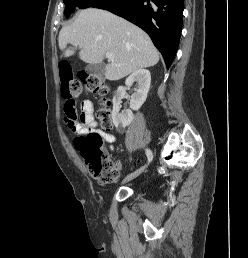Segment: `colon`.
Listing matches in <instances>:
<instances>
[{
    "mask_svg": "<svg viewBox=\"0 0 248 258\" xmlns=\"http://www.w3.org/2000/svg\"><path fill=\"white\" fill-rule=\"evenodd\" d=\"M61 81L63 96L66 100L64 112L68 118L69 112L75 113L76 99L81 93L82 85L92 94L102 97L101 107L98 110L97 116L100 125L104 130H110L113 127L112 115L110 110V102L106 99L108 87L99 76L80 73L77 79L72 76L71 68L68 63L60 64ZM75 132L74 129H70ZM74 146L79 151L86 164L89 167L91 174L101 183H112L117 179L118 169L114 162L105 154L103 150V138L94 131L81 133L74 139ZM139 158H134L129 162L132 166L131 172L137 173L142 170L139 163ZM142 179H148V174H142Z\"/></svg>",
    "mask_w": 248,
    "mask_h": 258,
    "instance_id": "1",
    "label": "colon"
}]
</instances>
